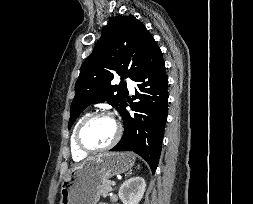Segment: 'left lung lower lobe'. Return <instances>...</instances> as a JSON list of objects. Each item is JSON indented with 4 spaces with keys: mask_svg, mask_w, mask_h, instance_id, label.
Wrapping results in <instances>:
<instances>
[{
    "mask_svg": "<svg viewBox=\"0 0 253 204\" xmlns=\"http://www.w3.org/2000/svg\"><path fill=\"white\" fill-rule=\"evenodd\" d=\"M136 98L131 106L134 113L126 110L125 101L120 115L124 122V134L110 151H133L144 158L152 172L156 170L161 153L168 110V78L160 48L155 44L138 73Z\"/></svg>",
    "mask_w": 253,
    "mask_h": 204,
    "instance_id": "left-lung-lower-lobe-1",
    "label": "left lung lower lobe"
}]
</instances>
